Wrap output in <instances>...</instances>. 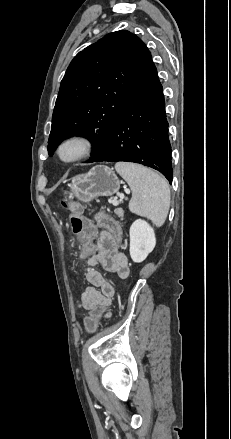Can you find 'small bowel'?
Wrapping results in <instances>:
<instances>
[{"instance_id": "obj_1", "label": "small bowel", "mask_w": 231, "mask_h": 439, "mask_svg": "<svg viewBox=\"0 0 231 439\" xmlns=\"http://www.w3.org/2000/svg\"><path fill=\"white\" fill-rule=\"evenodd\" d=\"M85 250H92L94 257L86 263L85 280L88 285L81 293L77 306L88 311L90 306H95L97 303H106L110 309L112 298L116 293V286L106 279L96 267L100 265L106 271L115 273L120 278H126L129 274L128 260L120 250L119 241L112 231L101 232L96 244L83 247L82 255ZM110 315L111 312L108 311L105 317Z\"/></svg>"}]
</instances>
